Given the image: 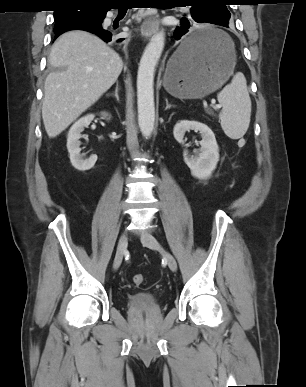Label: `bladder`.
Wrapping results in <instances>:
<instances>
[{"mask_svg": "<svg viewBox=\"0 0 306 387\" xmlns=\"http://www.w3.org/2000/svg\"><path fill=\"white\" fill-rule=\"evenodd\" d=\"M127 306L130 310H156L160 303L158 298L151 293L137 292L128 297Z\"/></svg>", "mask_w": 306, "mask_h": 387, "instance_id": "31cf9c89", "label": "bladder"}]
</instances>
